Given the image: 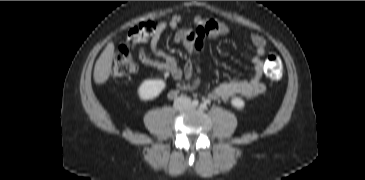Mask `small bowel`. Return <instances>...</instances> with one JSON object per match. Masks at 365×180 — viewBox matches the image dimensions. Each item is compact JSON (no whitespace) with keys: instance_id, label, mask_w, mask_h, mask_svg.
I'll use <instances>...</instances> for the list:
<instances>
[{"instance_id":"c3829d8e","label":"small bowel","mask_w":365,"mask_h":180,"mask_svg":"<svg viewBox=\"0 0 365 180\" xmlns=\"http://www.w3.org/2000/svg\"><path fill=\"white\" fill-rule=\"evenodd\" d=\"M183 20V16L173 15L168 20L159 22L156 33L149 41L153 57L149 56L144 49H141L139 59L147 66L169 73L176 80L188 79L189 82L180 83L179 88L181 90H190L200 84L196 76V62L199 59L205 39L230 36L236 34V32L222 22L200 16L191 19L194 28L178 29ZM167 28L176 30L174 41L183 45L187 53L188 60L183 69L174 56L164 53L159 47L160 37ZM251 43L254 48V56L251 60L254 69L252 77L248 80L227 81L217 84L210 94L212 99H222L224 101H230L236 97L251 99L265 92L266 86L262 80L265 66L262 56L266 51V40L259 34H253Z\"/></svg>"}]
</instances>
